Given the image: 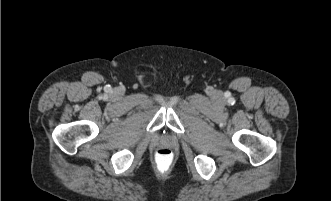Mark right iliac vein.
I'll use <instances>...</instances> for the list:
<instances>
[{"mask_svg":"<svg viewBox=\"0 0 331 201\" xmlns=\"http://www.w3.org/2000/svg\"><path fill=\"white\" fill-rule=\"evenodd\" d=\"M117 94H120V90L117 91Z\"/></svg>","mask_w":331,"mask_h":201,"instance_id":"1","label":"right iliac vein"}]
</instances>
